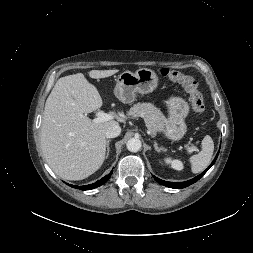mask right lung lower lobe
Here are the masks:
<instances>
[{
    "label": "right lung lower lobe",
    "instance_id": "obj_1",
    "mask_svg": "<svg viewBox=\"0 0 253 253\" xmlns=\"http://www.w3.org/2000/svg\"><path fill=\"white\" fill-rule=\"evenodd\" d=\"M112 173H113V171H111V173L109 175H106L101 180H98L97 182H95L93 184H89V185H86V186H80V187L73 186V185H70V186L71 187H75V188H79L81 190H90V189L99 187V186L103 185L105 182H107V180L110 178V176H111Z\"/></svg>",
    "mask_w": 253,
    "mask_h": 253
}]
</instances>
